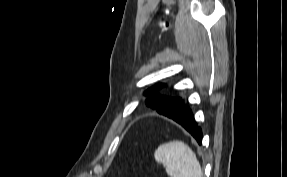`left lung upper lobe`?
I'll list each match as a JSON object with an SVG mask.
<instances>
[{
    "label": "left lung upper lobe",
    "mask_w": 287,
    "mask_h": 177,
    "mask_svg": "<svg viewBox=\"0 0 287 177\" xmlns=\"http://www.w3.org/2000/svg\"><path fill=\"white\" fill-rule=\"evenodd\" d=\"M165 84H156L153 87L149 88L145 95L148 96L146 104L155 109L158 113L168 116L175 112L178 108L176 102L174 101L177 97H168L165 95H155V93L164 87Z\"/></svg>",
    "instance_id": "obj_1"
}]
</instances>
